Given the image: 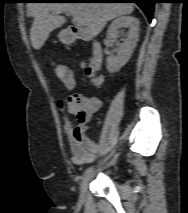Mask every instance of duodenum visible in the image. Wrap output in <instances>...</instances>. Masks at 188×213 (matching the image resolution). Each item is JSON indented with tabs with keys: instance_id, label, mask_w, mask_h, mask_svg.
<instances>
[{
	"instance_id": "410a0bca",
	"label": "duodenum",
	"mask_w": 188,
	"mask_h": 213,
	"mask_svg": "<svg viewBox=\"0 0 188 213\" xmlns=\"http://www.w3.org/2000/svg\"><path fill=\"white\" fill-rule=\"evenodd\" d=\"M70 36H69V42L74 43L77 41H83V40H91L93 42L92 45V66L94 68H99L102 64V56H103V50L99 42L94 39L90 34L80 28L72 27L69 30Z\"/></svg>"
}]
</instances>
